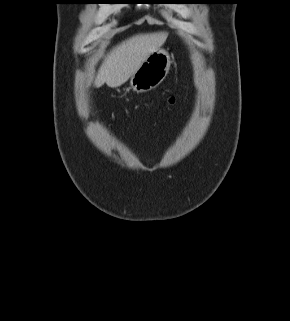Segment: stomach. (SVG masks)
Returning <instances> with one entry per match:
<instances>
[{
  "instance_id": "0dacf381",
  "label": "stomach",
  "mask_w": 290,
  "mask_h": 321,
  "mask_svg": "<svg viewBox=\"0 0 290 321\" xmlns=\"http://www.w3.org/2000/svg\"><path fill=\"white\" fill-rule=\"evenodd\" d=\"M170 65L171 58L166 50L160 48L154 51L131 76V88L137 93L156 88L167 76Z\"/></svg>"
}]
</instances>
